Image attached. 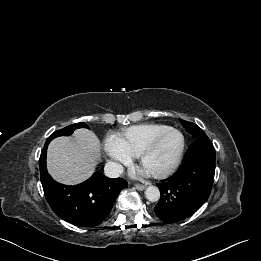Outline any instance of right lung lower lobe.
<instances>
[{
	"label": "right lung lower lobe",
	"mask_w": 261,
	"mask_h": 261,
	"mask_svg": "<svg viewBox=\"0 0 261 261\" xmlns=\"http://www.w3.org/2000/svg\"><path fill=\"white\" fill-rule=\"evenodd\" d=\"M50 140L47 139L39 159L40 177L45 197L56 215L65 221L92 227L101 223L128 183L121 178L112 179L95 172L85 182L66 186L59 184L48 174L46 152Z\"/></svg>",
	"instance_id": "right-lung-lower-lobe-1"
}]
</instances>
